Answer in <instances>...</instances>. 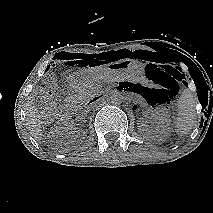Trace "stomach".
<instances>
[{
    "label": "stomach",
    "mask_w": 213,
    "mask_h": 213,
    "mask_svg": "<svg viewBox=\"0 0 213 213\" xmlns=\"http://www.w3.org/2000/svg\"><path fill=\"white\" fill-rule=\"evenodd\" d=\"M144 72L143 66L133 60H125L124 62H117L98 68L87 69L71 76V82L75 86H83L92 81H98L104 78L116 77L125 74L142 75Z\"/></svg>",
    "instance_id": "stomach-1"
}]
</instances>
